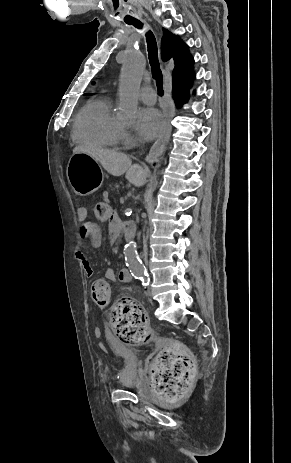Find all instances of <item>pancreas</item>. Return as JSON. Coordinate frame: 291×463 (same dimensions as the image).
Returning <instances> with one entry per match:
<instances>
[{"mask_svg": "<svg viewBox=\"0 0 291 463\" xmlns=\"http://www.w3.org/2000/svg\"><path fill=\"white\" fill-rule=\"evenodd\" d=\"M108 191L114 195H120L121 186L118 183H111L108 187Z\"/></svg>", "mask_w": 291, "mask_h": 463, "instance_id": "obj_1", "label": "pancreas"}]
</instances>
